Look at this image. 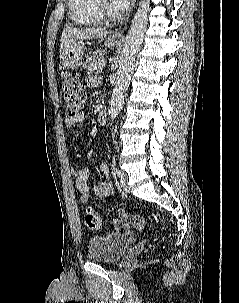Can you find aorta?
<instances>
[{
  "instance_id": "1",
  "label": "aorta",
  "mask_w": 239,
  "mask_h": 303,
  "mask_svg": "<svg viewBox=\"0 0 239 303\" xmlns=\"http://www.w3.org/2000/svg\"><path fill=\"white\" fill-rule=\"evenodd\" d=\"M150 0H142L127 32L113 93L109 103L108 114L113 121L123 109L124 96L127 91L134 68L135 58L143 42L147 29Z\"/></svg>"
}]
</instances>
